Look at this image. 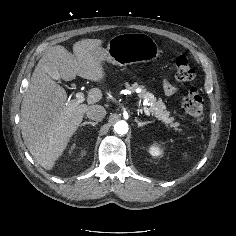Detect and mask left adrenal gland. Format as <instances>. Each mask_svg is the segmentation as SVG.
Instances as JSON below:
<instances>
[{"label": "left adrenal gland", "mask_w": 236, "mask_h": 236, "mask_svg": "<svg viewBox=\"0 0 236 236\" xmlns=\"http://www.w3.org/2000/svg\"><path fill=\"white\" fill-rule=\"evenodd\" d=\"M135 122L138 124V127L140 128V127H143V126H145V125H147V124H149V123H151V122H141V121H139L137 118H135Z\"/></svg>", "instance_id": "1"}]
</instances>
